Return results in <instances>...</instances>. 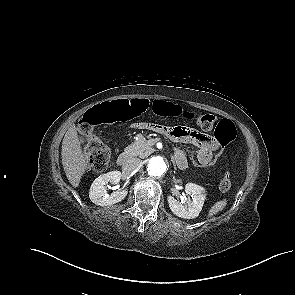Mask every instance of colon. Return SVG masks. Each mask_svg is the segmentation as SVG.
I'll return each instance as SVG.
<instances>
[{"instance_id": "5ec220e1", "label": "colon", "mask_w": 295, "mask_h": 295, "mask_svg": "<svg viewBox=\"0 0 295 295\" xmlns=\"http://www.w3.org/2000/svg\"><path fill=\"white\" fill-rule=\"evenodd\" d=\"M149 109L162 117L183 115L187 119L194 120L202 130L214 131L216 139L221 144L213 160L210 162L198 164L192 150L189 147L184 149L191 167L196 171L214 168L223 157L224 151L227 149V143L234 140L237 135V129L231 121L226 119L218 121L215 116L210 114L196 115L184 112L178 105L171 102L155 100L150 103L145 99H135L104 103L87 111L78 122L77 130L85 144L86 162L90 171L94 173L103 172L107 168L111 157L109 147L94 134L95 126L129 121ZM230 187V174L226 173L219 183V189L225 192Z\"/></svg>"}]
</instances>
